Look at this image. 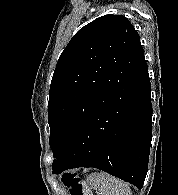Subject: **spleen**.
<instances>
[{"mask_svg": "<svg viewBox=\"0 0 178 195\" xmlns=\"http://www.w3.org/2000/svg\"><path fill=\"white\" fill-rule=\"evenodd\" d=\"M87 181L100 195H132L127 183L104 172L89 175Z\"/></svg>", "mask_w": 178, "mask_h": 195, "instance_id": "spleen-1", "label": "spleen"}]
</instances>
